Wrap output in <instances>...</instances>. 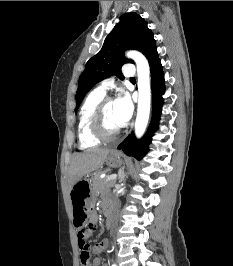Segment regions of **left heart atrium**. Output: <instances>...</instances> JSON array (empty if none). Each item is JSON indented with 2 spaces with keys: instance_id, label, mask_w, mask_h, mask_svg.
<instances>
[{
  "instance_id": "left-heart-atrium-1",
  "label": "left heart atrium",
  "mask_w": 233,
  "mask_h": 266,
  "mask_svg": "<svg viewBox=\"0 0 233 266\" xmlns=\"http://www.w3.org/2000/svg\"><path fill=\"white\" fill-rule=\"evenodd\" d=\"M116 120L119 127L125 126L133 113V105L127 94L120 95L115 101Z\"/></svg>"
}]
</instances>
